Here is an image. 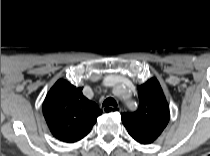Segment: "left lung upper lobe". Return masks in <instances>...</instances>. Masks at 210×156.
<instances>
[{"instance_id": "left-lung-upper-lobe-1", "label": "left lung upper lobe", "mask_w": 210, "mask_h": 156, "mask_svg": "<svg viewBox=\"0 0 210 156\" xmlns=\"http://www.w3.org/2000/svg\"><path fill=\"white\" fill-rule=\"evenodd\" d=\"M140 105L137 111L121 115L129 134L141 144L154 142L168 124L169 106L156 78L138 86Z\"/></svg>"}]
</instances>
